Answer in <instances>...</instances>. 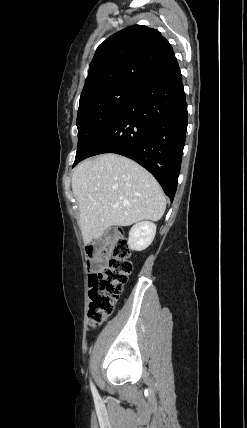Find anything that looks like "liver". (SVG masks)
<instances>
[{"label": "liver", "mask_w": 247, "mask_h": 428, "mask_svg": "<svg viewBox=\"0 0 247 428\" xmlns=\"http://www.w3.org/2000/svg\"><path fill=\"white\" fill-rule=\"evenodd\" d=\"M85 244L101 238L111 226L158 221L166 199L156 179L136 162L103 154L80 163L72 176Z\"/></svg>", "instance_id": "6515ba94"}]
</instances>
